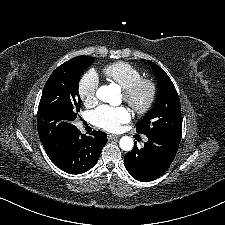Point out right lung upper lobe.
<instances>
[{
    "mask_svg": "<svg viewBox=\"0 0 225 225\" xmlns=\"http://www.w3.org/2000/svg\"><path fill=\"white\" fill-rule=\"evenodd\" d=\"M44 145V148L46 149V152L57 146L60 141H48V142H42Z\"/></svg>",
    "mask_w": 225,
    "mask_h": 225,
    "instance_id": "1",
    "label": "right lung upper lobe"
}]
</instances>
